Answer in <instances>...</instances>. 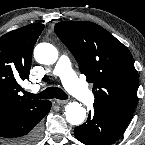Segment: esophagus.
I'll list each match as a JSON object with an SVG mask.
<instances>
[{
    "label": "esophagus",
    "mask_w": 145,
    "mask_h": 145,
    "mask_svg": "<svg viewBox=\"0 0 145 145\" xmlns=\"http://www.w3.org/2000/svg\"><path fill=\"white\" fill-rule=\"evenodd\" d=\"M56 102H57L59 105H63V104H66V103H67V100L57 99Z\"/></svg>",
    "instance_id": "34e87169"
}]
</instances>
